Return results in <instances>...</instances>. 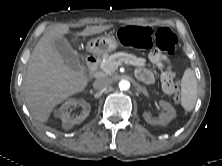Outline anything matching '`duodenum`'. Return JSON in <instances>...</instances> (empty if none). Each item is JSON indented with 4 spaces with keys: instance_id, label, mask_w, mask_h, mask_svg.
I'll return each instance as SVG.
<instances>
[{
    "instance_id": "obj_1",
    "label": "duodenum",
    "mask_w": 222,
    "mask_h": 166,
    "mask_svg": "<svg viewBox=\"0 0 222 166\" xmlns=\"http://www.w3.org/2000/svg\"><path fill=\"white\" fill-rule=\"evenodd\" d=\"M86 63L90 71V75L94 76L99 64V59L94 55H88L86 57Z\"/></svg>"
}]
</instances>
